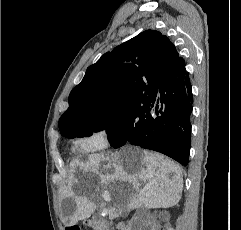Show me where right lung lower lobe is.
<instances>
[{
    "instance_id": "1",
    "label": "right lung lower lobe",
    "mask_w": 241,
    "mask_h": 230,
    "mask_svg": "<svg viewBox=\"0 0 241 230\" xmlns=\"http://www.w3.org/2000/svg\"><path fill=\"white\" fill-rule=\"evenodd\" d=\"M192 86L183 58L167 72L147 105L148 123L118 144L137 145L188 164L191 144Z\"/></svg>"
}]
</instances>
